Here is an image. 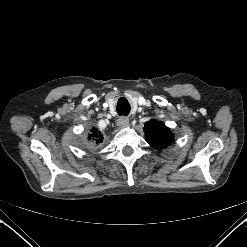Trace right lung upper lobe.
<instances>
[{
	"mask_svg": "<svg viewBox=\"0 0 247 247\" xmlns=\"http://www.w3.org/2000/svg\"><path fill=\"white\" fill-rule=\"evenodd\" d=\"M91 148L99 147L102 145L104 137L102 133L95 127L91 128L88 136Z\"/></svg>",
	"mask_w": 247,
	"mask_h": 247,
	"instance_id": "right-lung-upper-lobe-1",
	"label": "right lung upper lobe"
}]
</instances>
